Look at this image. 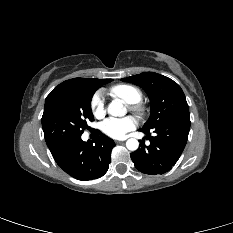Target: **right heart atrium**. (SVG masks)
Segmentation results:
<instances>
[{
  "label": "right heart atrium",
  "mask_w": 233,
  "mask_h": 233,
  "mask_svg": "<svg viewBox=\"0 0 233 233\" xmlns=\"http://www.w3.org/2000/svg\"><path fill=\"white\" fill-rule=\"evenodd\" d=\"M90 107L93 115L97 118H102L106 113V106L103 94L96 92L90 102Z\"/></svg>",
  "instance_id": "right-heart-atrium-1"
}]
</instances>
